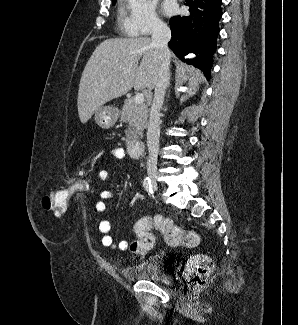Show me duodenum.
I'll return each mask as SVG.
<instances>
[{
    "label": "duodenum",
    "instance_id": "obj_1",
    "mask_svg": "<svg viewBox=\"0 0 298 325\" xmlns=\"http://www.w3.org/2000/svg\"><path fill=\"white\" fill-rule=\"evenodd\" d=\"M128 151L132 157H140L144 152V143L139 140L132 141L128 145Z\"/></svg>",
    "mask_w": 298,
    "mask_h": 325
}]
</instances>
